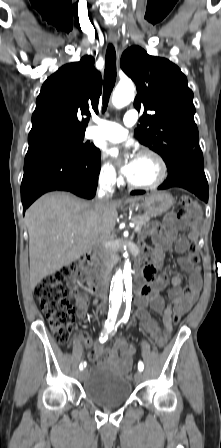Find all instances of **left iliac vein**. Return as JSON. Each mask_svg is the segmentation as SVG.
I'll use <instances>...</instances> for the list:
<instances>
[{"instance_id": "left-iliac-vein-1", "label": "left iliac vein", "mask_w": 221, "mask_h": 448, "mask_svg": "<svg viewBox=\"0 0 221 448\" xmlns=\"http://www.w3.org/2000/svg\"><path fill=\"white\" fill-rule=\"evenodd\" d=\"M134 380L136 383H140L143 380V374L141 371H138L135 376H134Z\"/></svg>"}]
</instances>
